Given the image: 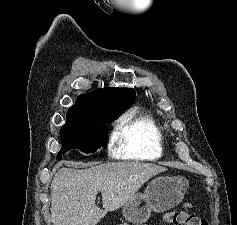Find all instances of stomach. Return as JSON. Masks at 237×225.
<instances>
[{
    "label": "stomach",
    "mask_w": 237,
    "mask_h": 225,
    "mask_svg": "<svg viewBox=\"0 0 237 225\" xmlns=\"http://www.w3.org/2000/svg\"><path fill=\"white\" fill-rule=\"evenodd\" d=\"M184 177H158L152 180L143 194H135L123 206V216L129 222H145L151 212L161 213L179 204L188 188Z\"/></svg>",
    "instance_id": "stomach-1"
}]
</instances>
